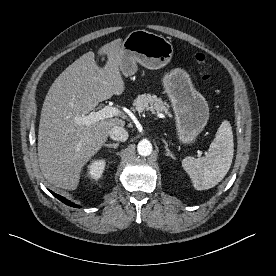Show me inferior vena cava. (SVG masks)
<instances>
[{
  "mask_svg": "<svg viewBox=\"0 0 276 276\" xmlns=\"http://www.w3.org/2000/svg\"><path fill=\"white\" fill-rule=\"evenodd\" d=\"M109 135L115 141H126L128 139V132L121 126H114Z\"/></svg>",
  "mask_w": 276,
  "mask_h": 276,
  "instance_id": "obj_1",
  "label": "inferior vena cava"
}]
</instances>
